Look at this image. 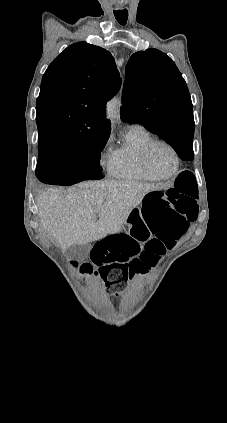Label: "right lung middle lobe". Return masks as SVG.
Here are the masks:
<instances>
[{
	"instance_id": "right-lung-middle-lobe-1",
	"label": "right lung middle lobe",
	"mask_w": 227,
	"mask_h": 423,
	"mask_svg": "<svg viewBox=\"0 0 227 423\" xmlns=\"http://www.w3.org/2000/svg\"><path fill=\"white\" fill-rule=\"evenodd\" d=\"M109 135H83L38 145V161L55 162L83 180L102 179L101 151Z\"/></svg>"
}]
</instances>
